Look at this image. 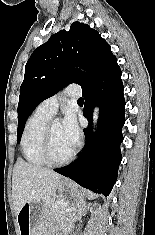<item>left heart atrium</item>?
I'll return each instance as SVG.
<instances>
[{"label": "left heart atrium", "instance_id": "39dd6f15", "mask_svg": "<svg viewBox=\"0 0 155 235\" xmlns=\"http://www.w3.org/2000/svg\"><path fill=\"white\" fill-rule=\"evenodd\" d=\"M61 125L67 140L75 147L80 138V130L74 115L69 112L66 113Z\"/></svg>", "mask_w": 155, "mask_h": 235}]
</instances>
